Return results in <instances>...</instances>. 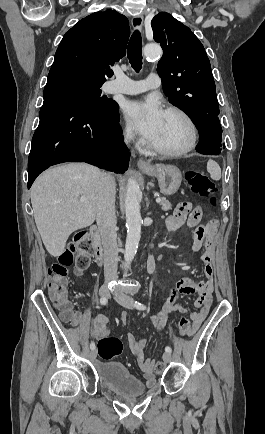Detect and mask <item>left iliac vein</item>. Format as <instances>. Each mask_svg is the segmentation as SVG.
Here are the masks:
<instances>
[{
  "label": "left iliac vein",
  "instance_id": "1",
  "mask_svg": "<svg viewBox=\"0 0 265 434\" xmlns=\"http://www.w3.org/2000/svg\"><path fill=\"white\" fill-rule=\"evenodd\" d=\"M115 299L120 305H122L128 309L133 308V301H132L130 296H128L124 293H119L115 296ZM163 360H164V364H168L172 360L171 354L169 352H165L163 354Z\"/></svg>",
  "mask_w": 265,
  "mask_h": 434
}]
</instances>
